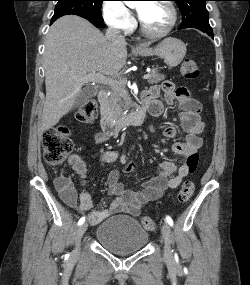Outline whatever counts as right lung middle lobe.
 <instances>
[{
    "label": "right lung middle lobe",
    "mask_w": 250,
    "mask_h": 285,
    "mask_svg": "<svg viewBox=\"0 0 250 285\" xmlns=\"http://www.w3.org/2000/svg\"><path fill=\"white\" fill-rule=\"evenodd\" d=\"M58 1L51 21L64 15H78L89 21L104 23L101 15L103 0H56Z\"/></svg>",
    "instance_id": "1"
}]
</instances>
